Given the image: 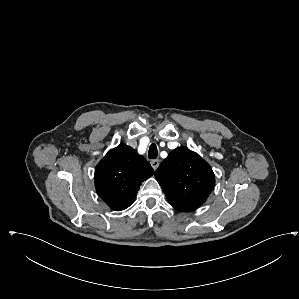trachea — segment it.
<instances>
[{
	"instance_id": "trachea-1",
	"label": "trachea",
	"mask_w": 299,
	"mask_h": 299,
	"mask_svg": "<svg viewBox=\"0 0 299 299\" xmlns=\"http://www.w3.org/2000/svg\"><path fill=\"white\" fill-rule=\"evenodd\" d=\"M157 155H158V150H157L156 145L153 143V144H151L150 147H149L148 157H149L150 159H156V158H157Z\"/></svg>"
}]
</instances>
